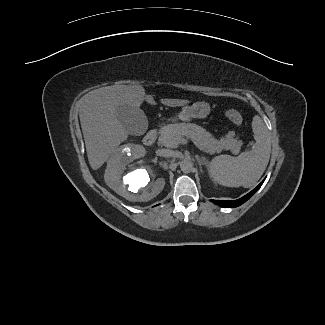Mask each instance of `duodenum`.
I'll use <instances>...</instances> for the list:
<instances>
[{"instance_id":"1","label":"duodenum","mask_w":325,"mask_h":325,"mask_svg":"<svg viewBox=\"0 0 325 325\" xmlns=\"http://www.w3.org/2000/svg\"><path fill=\"white\" fill-rule=\"evenodd\" d=\"M158 135V130L157 129H152L150 130L144 137H143V144L146 146L152 145Z\"/></svg>"}]
</instances>
